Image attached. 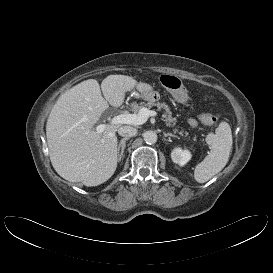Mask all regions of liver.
<instances>
[{"label":"liver","mask_w":273,"mask_h":273,"mask_svg":"<svg viewBox=\"0 0 273 273\" xmlns=\"http://www.w3.org/2000/svg\"><path fill=\"white\" fill-rule=\"evenodd\" d=\"M136 85L130 76L109 75L101 89L97 80L88 79L59 97L47 120L46 136L52 166L62 178L97 186L114 174L120 125L108 124L101 133L93 127L109 104L120 107Z\"/></svg>","instance_id":"liver-1"}]
</instances>
